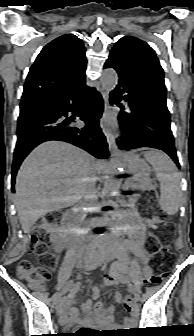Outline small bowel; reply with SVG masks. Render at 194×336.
<instances>
[{"instance_id": "1", "label": "small bowel", "mask_w": 194, "mask_h": 336, "mask_svg": "<svg viewBox=\"0 0 194 336\" xmlns=\"http://www.w3.org/2000/svg\"><path fill=\"white\" fill-rule=\"evenodd\" d=\"M128 222V238L118 243L115 249L117 261L112 266L110 272L103 278V285L111 286L125 283L128 276L136 284H139L143 279H147L152 275L150 266L151 257L145 248L146 226L135 211L129 213ZM127 250L131 251L140 260L143 265L141 270L129 258ZM100 293L101 288L99 286L93 287V300H97ZM115 299L121 301L122 295L117 292ZM82 312L84 314L82 321L94 325H112L116 315L113 306L104 307L102 302H93L92 300H87L82 305ZM61 321L65 325L78 323L77 312L73 307V300H69L61 307ZM131 323V319L125 320V324L129 325Z\"/></svg>"}]
</instances>
